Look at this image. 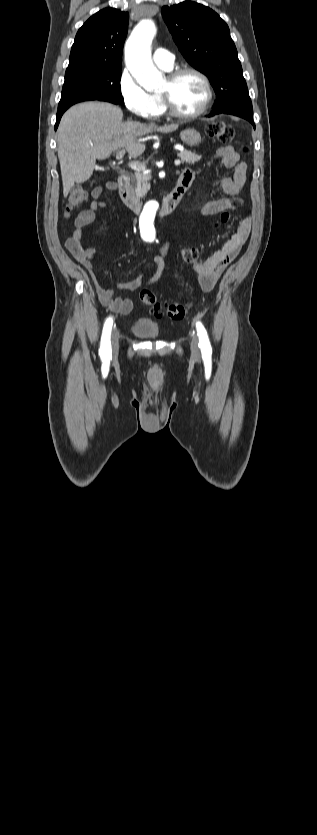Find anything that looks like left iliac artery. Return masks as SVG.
Segmentation results:
<instances>
[{"label":"left iliac artery","instance_id":"left-iliac-artery-1","mask_svg":"<svg viewBox=\"0 0 317 835\" xmlns=\"http://www.w3.org/2000/svg\"><path fill=\"white\" fill-rule=\"evenodd\" d=\"M197 335L199 337V347L201 348L202 357L205 361H211L212 348L208 338L207 331L200 321L196 322Z\"/></svg>","mask_w":317,"mask_h":835}]
</instances>
